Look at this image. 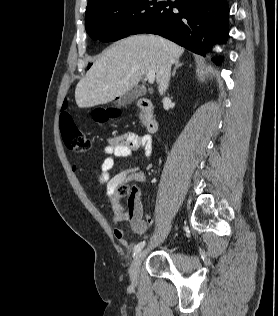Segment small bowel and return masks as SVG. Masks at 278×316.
<instances>
[{
  "instance_id": "small-bowel-1",
  "label": "small bowel",
  "mask_w": 278,
  "mask_h": 316,
  "mask_svg": "<svg viewBox=\"0 0 278 316\" xmlns=\"http://www.w3.org/2000/svg\"><path fill=\"white\" fill-rule=\"evenodd\" d=\"M138 150H143L146 158L151 156L152 141L150 136L128 132L110 137L107 145L103 148L105 158L101 164L99 183L105 187L109 199L117 208L112 217L113 222H129L134 234L143 235L148 225L153 223V219L150 216L143 217L140 192L134 190L130 194L127 209L123 210L118 206L116 191L118 187L125 186L131 182H145V174L140 171L139 167L135 166L120 171L113 176L110 175L115 165V158L129 157L133 152ZM74 171H77V167L75 166ZM114 236L122 246L126 248L132 247L133 244L126 238L122 228H114Z\"/></svg>"
}]
</instances>
